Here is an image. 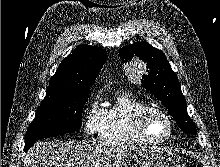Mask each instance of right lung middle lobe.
<instances>
[{
    "label": "right lung middle lobe",
    "mask_w": 220,
    "mask_h": 167,
    "mask_svg": "<svg viewBox=\"0 0 220 167\" xmlns=\"http://www.w3.org/2000/svg\"><path fill=\"white\" fill-rule=\"evenodd\" d=\"M89 93V90L78 91L44 99L26 133L24 150L39 139L78 130Z\"/></svg>",
    "instance_id": "1"
}]
</instances>
